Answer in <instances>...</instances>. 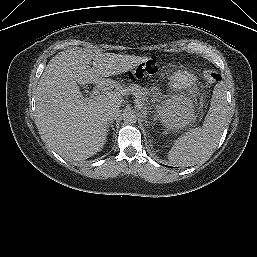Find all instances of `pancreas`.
I'll list each match as a JSON object with an SVG mask.
<instances>
[{
    "label": "pancreas",
    "mask_w": 257,
    "mask_h": 257,
    "mask_svg": "<svg viewBox=\"0 0 257 257\" xmlns=\"http://www.w3.org/2000/svg\"><path fill=\"white\" fill-rule=\"evenodd\" d=\"M126 89H128L130 92H132V94L136 97L137 106L139 108H142L143 111H145L147 101H148L147 96L149 94V90L144 87L142 88L138 85H131V86L127 87Z\"/></svg>",
    "instance_id": "obj_1"
}]
</instances>
